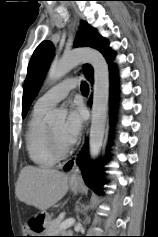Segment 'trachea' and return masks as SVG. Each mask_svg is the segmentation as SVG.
Masks as SVG:
<instances>
[{
  "mask_svg": "<svg viewBox=\"0 0 158 237\" xmlns=\"http://www.w3.org/2000/svg\"><path fill=\"white\" fill-rule=\"evenodd\" d=\"M81 92L85 95H87L89 93V86L86 82H83L81 84Z\"/></svg>",
  "mask_w": 158,
  "mask_h": 237,
  "instance_id": "obj_1",
  "label": "trachea"
}]
</instances>
